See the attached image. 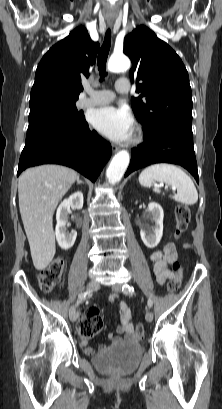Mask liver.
I'll use <instances>...</instances> for the list:
<instances>
[{
    "label": "liver",
    "mask_w": 222,
    "mask_h": 409,
    "mask_svg": "<svg viewBox=\"0 0 222 409\" xmlns=\"http://www.w3.org/2000/svg\"><path fill=\"white\" fill-rule=\"evenodd\" d=\"M78 177L74 170L59 165L29 168L19 177V209L37 270H44L55 255L53 214Z\"/></svg>",
    "instance_id": "1"
}]
</instances>
